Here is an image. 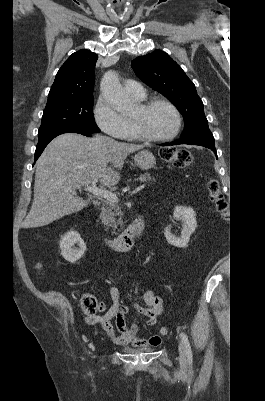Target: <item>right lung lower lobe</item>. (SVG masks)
<instances>
[{
	"label": "right lung lower lobe",
	"mask_w": 265,
	"mask_h": 401,
	"mask_svg": "<svg viewBox=\"0 0 265 401\" xmlns=\"http://www.w3.org/2000/svg\"><path fill=\"white\" fill-rule=\"evenodd\" d=\"M63 133H79L88 137H91L92 134L90 133H84V132H76V131H67V130H56L54 132H51L50 134L46 135L45 137L39 138L38 144L36 146V151H35V156H34V160L36 161L39 156L41 155V153L43 152V150L45 149V147L47 146V144L56 136L63 134Z\"/></svg>",
	"instance_id": "1"
}]
</instances>
